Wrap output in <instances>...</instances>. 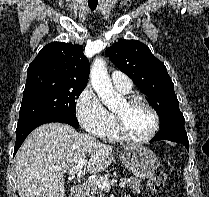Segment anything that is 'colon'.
<instances>
[{
	"instance_id": "1",
	"label": "colon",
	"mask_w": 209,
	"mask_h": 197,
	"mask_svg": "<svg viewBox=\"0 0 209 197\" xmlns=\"http://www.w3.org/2000/svg\"><path fill=\"white\" fill-rule=\"evenodd\" d=\"M167 180V175L162 171H157L148 180V189L157 192L163 188Z\"/></svg>"
}]
</instances>
